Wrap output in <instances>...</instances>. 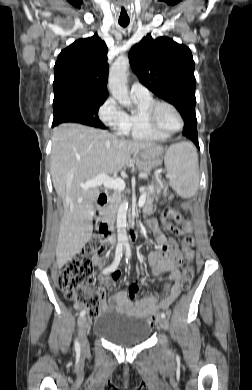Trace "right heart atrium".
Here are the masks:
<instances>
[{
    "label": "right heart atrium",
    "mask_w": 252,
    "mask_h": 390,
    "mask_svg": "<svg viewBox=\"0 0 252 390\" xmlns=\"http://www.w3.org/2000/svg\"><path fill=\"white\" fill-rule=\"evenodd\" d=\"M98 115L100 120L117 134H125L127 129L126 113L114 98L109 97L104 101L99 108Z\"/></svg>",
    "instance_id": "right-heart-atrium-1"
}]
</instances>
